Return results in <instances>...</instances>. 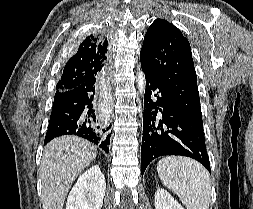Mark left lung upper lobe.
<instances>
[{"label": "left lung upper lobe", "mask_w": 253, "mask_h": 209, "mask_svg": "<svg viewBox=\"0 0 253 209\" xmlns=\"http://www.w3.org/2000/svg\"><path fill=\"white\" fill-rule=\"evenodd\" d=\"M140 62L167 87L182 113L203 128L196 71L182 32L166 20L156 19L144 37Z\"/></svg>", "instance_id": "1"}]
</instances>
